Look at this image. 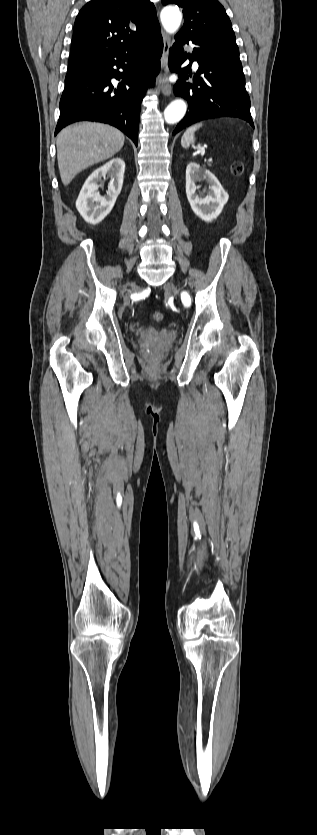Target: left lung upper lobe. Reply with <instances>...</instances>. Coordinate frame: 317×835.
<instances>
[{
	"mask_svg": "<svg viewBox=\"0 0 317 835\" xmlns=\"http://www.w3.org/2000/svg\"><path fill=\"white\" fill-rule=\"evenodd\" d=\"M162 4L183 9L184 25L175 38L193 41L207 37L237 47L230 19L217 0H162Z\"/></svg>",
	"mask_w": 317,
	"mask_h": 835,
	"instance_id": "obj_1",
	"label": "left lung upper lobe"
}]
</instances>
